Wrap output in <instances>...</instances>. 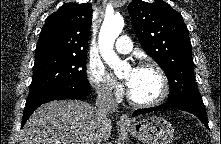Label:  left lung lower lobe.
Listing matches in <instances>:
<instances>
[{"mask_svg": "<svg viewBox=\"0 0 221 144\" xmlns=\"http://www.w3.org/2000/svg\"><path fill=\"white\" fill-rule=\"evenodd\" d=\"M163 109H178V110L190 112L194 114L196 117H198L202 121V123L207 128H209L206 109H205L204 104L195 103V102L187 101V100L168 101L167 103H164L157 107L139 109L133 113V116H137L140 114H145V113H149L153 111L163 110Z\"/></svg>", "mask_w": 221, "mask_h": 144, "instance_id": "1", "label": "left lung lower lobe"}]
</instances>
